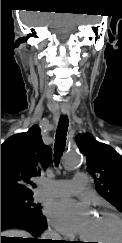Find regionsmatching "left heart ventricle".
<instances>
[{
  "label": "left heart ventricle",
  "mask_w": 122,
  "mask_h": 243,
  "mask_svg": "<svg viewBox=\"0 0 122 243\" xmlns=\"http://www.w3.org/2000/svg\"><path fill=\"white\" fill-rule=\"evenodd\" d=\"M82 236L87 240H97V243H117L119 226L113 218L98 214L91 217Z\"/></svg>",
  "instance_id": "b2bd125f"
}]
</instances>
